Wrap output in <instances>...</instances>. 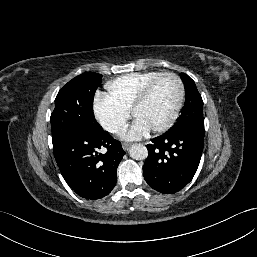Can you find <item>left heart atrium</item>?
<instances>
[{"instance_id":"1","label":"left heart atrium","mask_w":257,"mask_h":257,"mask_svg":"<svg viewBox=\"0 0 257 257\" xmlns=\"http://www.w3.org/2000/svg\"><path fill=\"white\" fill-rule=\"evenodd\" d=\"M150 130V127L142 119L136 118L133 123L123 131L121 137L126 141H137L147 136Z\"/></svg>"}]
</instances>
